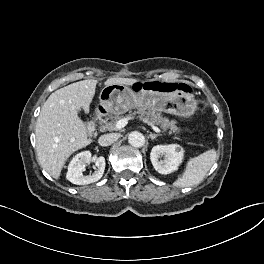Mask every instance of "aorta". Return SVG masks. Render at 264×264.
<instances>
[{
  "label": "aorta",
  "instance_id": "1",
  "mask_svg": "<svg viewBox=\"0 0 264 264\" xmlns=\"http://www.w3.org/2000/svg\"><path fill=\"white\" fill-rule=\"evenodd\" d=\"M128 142L133 147L140 148L145 144V137L142 133L133 131L128 136Z\"/></svg>",
  "mask_w": 264,
  "mask_h": 264
}]
</instances>
